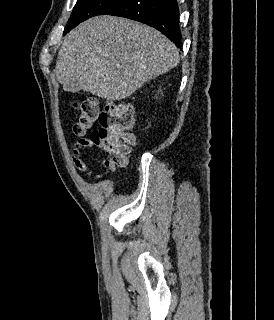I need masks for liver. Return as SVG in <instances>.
Returning a JSON list of instances; mask_svg holds the SVG:
<instances>
[{"mask_svg":"<svg viewBox=\"0 0 274 320\" xmlns=\"http://www.w3.org/2000/svg\"><path fill=\"white\" fill-rule=\"evenodd\" d=\"M179 60L176 46L154 28L96 16L65 36L55 74L65 92L85 90L105 100H123L173 70Z\"/></svg>","mask_w":274,"mask_h":320,"instance_id":"1","label":"liver"}]
</instances>
